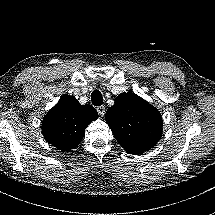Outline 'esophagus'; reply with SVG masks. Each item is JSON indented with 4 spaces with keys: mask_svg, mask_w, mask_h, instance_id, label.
Segmentation results:
<instances>
[{
    "mask_svg": "<svg viewBox=\"0 0 215 215\" xmlns=\"http://www.w3.org/2000/svg\"><path fill=\"white\" fill-rule=\"evenodd\" d=\"M105 111H106V108H105L104 105H101V106H98V107H97V112H98L101 116H103V115L105 114Z\"/></svg>",
    "mask_w": 215,
    "mask_h": 215,
    "instance_id": "1",
    "label": "esophagus"
}]
</instances>
